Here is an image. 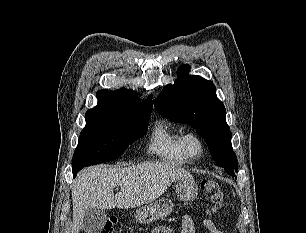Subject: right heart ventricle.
<instances>
[{
	"mask_svg": "<svg viewBox=\"0 0 306 233\" xmlns=\"http://www.w3.org/2000/svg\"><path fill=\"white\" fill-rule=\"evenodd\" d=\"M183 131L166 121L157 123L149 146L151 153L176 164L184 163Z\"/></svg>",
	"mask_w": 306,
	"mask_h": 233,
	"instance_id": "right-heart-ventricle-1",
	"label": "right heart ventricle"
}]
</instances>
